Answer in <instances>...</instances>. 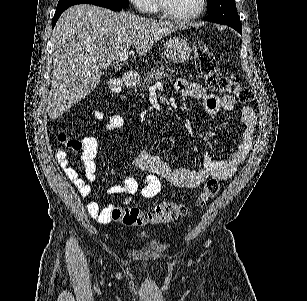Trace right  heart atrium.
<instances>
[{"label": "right heart atrium", "mask_w": 307, "mask_h": 301, "mask_svg": "<svg viewBox=\"0 0 307 301\" xmlns=\"http://www.w3.org/2000/svg\"><path fill=\"white\" fill-rule=\"evenodd\" d=\"M138 11H154L155 6L151 4V0H133Z\"/></svg>", "instance_id": "right-heart-atrium-1"}]
</instances>
